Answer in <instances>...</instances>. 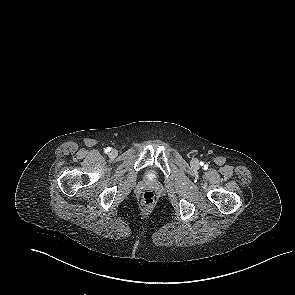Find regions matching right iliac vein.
<instances>
[{
	"instance_id": "obj_1",
	"label": "right iliac vein",
	"mask_w": 295,
	"mask_h": 295,
	"mask_svg": "<svg viewBox=\"0 0 295 295\" xmlns=\"http://www.w3.org/2000/svg\"><path fill=\"white\" fill-rule=\"evenodd\" d=\"M118 155V151L116 149H112L109 153L111 158H115Z\"/></svg>"
}]
</instances>
